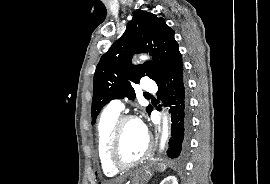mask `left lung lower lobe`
Segmentation results:
<instances>
[{
  "label": "left lung lower lobe",
  "instance_id": "obj_1",
  "mask_svg": "<svg viewBox=\"0 0 270 184\" xmlns=\"http://www.w3.org/2000/svg\"><path fill=\"white\" fill-rule=\"evenodd\" d=\"M157 96L170 107L171 138L167 155L180 164L186 157L189 149L191 134V117L186 85L183 77L182 56L178 52L170 62L164 74L156 81Z\"/></svg>",
  "mask_w": 270,
  "mask_h": 184
}]
</instances>
